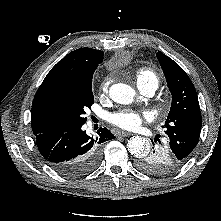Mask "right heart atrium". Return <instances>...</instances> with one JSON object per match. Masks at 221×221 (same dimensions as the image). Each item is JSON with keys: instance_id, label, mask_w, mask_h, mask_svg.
<instances>
[{"instance_id": "obj_1", "label": "right heart atrium", "mask_w": 221, "mask_h": 221, "mask_svg": "<svg viewBox=\"0 0 221 221\" xmlns=\"http://www.w3.org/2000/svg\"><path fill=\"white\" fill-rule=\"evenodd\" d=\"M109 83H110V80L108 78H105L100 84L99 91L101 93H105L108 90Z\"/></svg>"}]
</instances>
